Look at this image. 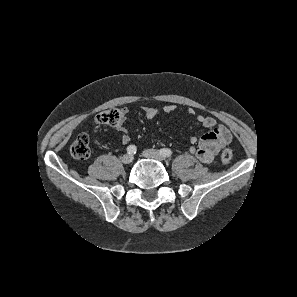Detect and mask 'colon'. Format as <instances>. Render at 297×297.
<instances>
[{"label":"colon","mask_w":297,"mask_h":297,"mask_svg":"<svg viewBox=\"0 0 297 297\" xmlns=\"http://www.w3.org/2000/svg\"><path fill=\"white\" fill-rule=\"evenodd\" d=\"M122 116L118 109H110L101 112L97 115L96 121L99 124L117 126L121 123ZM71 155L78 160L87 159L90 156L91 149L89 138L86 134H80L74 140L70 147ZM233 152L231 149L226 148L220 154V160L223 164H229L232 160Z\"/></svg>","instance_id":"obj_1"}]
</instances>
